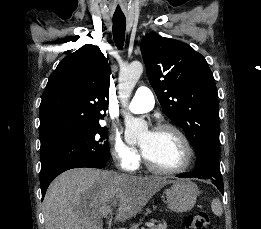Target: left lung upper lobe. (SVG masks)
I'll return each instance as SVG.
<instances>
[{"mask_svg": "<svg viewBox=\"0 0 261 229\" xmlns=\"http://www.w3.org/2000/svg\"><path fill=\"white\" fill-rule=\"evenodd\" d=\"M141 53L164 112L184 130L196 156L218 149V95L205 58L188 44L156 33L143 37Z\"/></svg>", "mask_w": 261, "mask_h": 229, "instance_id": "obj_1", "label": "left lung upper lobe"}]
</instances>
